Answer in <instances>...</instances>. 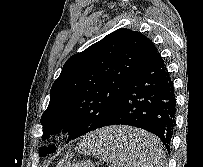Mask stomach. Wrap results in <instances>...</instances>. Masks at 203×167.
I'll return each mask as SVG.
<instances>
[{"label":"stomach","mask_w":203,"mask_h":167,"mask_svg":"<svg viewBox=\"0 0 203 167\" xmlns=\"http://www.w3.org/2000/svg\"><path fill=\"white\" fill-rule=\"evenodd\" d=\"M108 129H110V128H108ZM108 129H105V130H101V131H98V132H96V133H104V131L106 132V131H108ZM110 138V137H109ZM109 138H107V140L109 139ZM125 150L124 149H116L115 150V152L116 153H118V154H121V153H123ZM72 167H92L91 165H90V163L89 162H81V163H78V164H75V165H73Z\"/></svg>","instance_id":"1"}]
</instances>
